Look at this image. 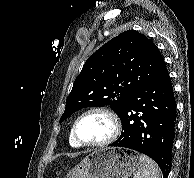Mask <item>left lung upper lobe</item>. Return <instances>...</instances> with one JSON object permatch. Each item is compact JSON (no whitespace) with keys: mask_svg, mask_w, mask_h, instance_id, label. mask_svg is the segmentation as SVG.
Returning a JSON list of instances; mask_svg holds the SVG:
<instances>
[{"mask_svg":"<svg viewBox=\"0 0 194 178\" xmlns=\"http://www.w3.org/2000/svg\"><path fill=\"white\" fill-rule=\"evenodd\" d=\"M165 68L159 49L143 34L135 30L119 34L85 62L66 100L60 123L84 107L109 105L117 113L129 95Z\"/></svg>","mask_w":194,"mask_h":178,"instance_id":"obj_1","label":"left lung upper lobe"}]
</instances>
